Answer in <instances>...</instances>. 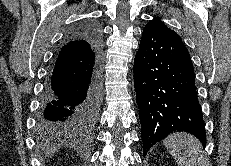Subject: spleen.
Returning a JSON list of instances; mask_svg holds the SVG:
<instances>
[{
    "label": "spleen",
    "instance_id": "1",
    "mask_svg": "<svg viewBox=\"0 0 231 166\" xmlns=\"http://www.w3.org/2000/svg\"><path fill=\"white\" fill-rule=\"evenodd\" d=\"M164 144L178 166H204L202 148L194 136L185 132L173 133Z\"/></svg>",
    "mask_w": 231,
    "mask_h": 166
}]
</instances>
